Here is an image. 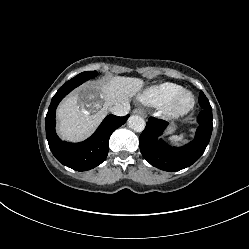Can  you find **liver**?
<instances>
[{
    "mask_svg": "<svg viewBox=\"0 0 249 249\" xmlns=\"http://www.w3.org/2000/svg\"><path fill=\"white\" fill-rule=\"evenodd\" d=\"M143 85V80L139 78L117 76L101 86H88L75 92L64 99L57 109L59 135L68 141L85 139L112 106L128 103ZM79 95L87 103L80 106Z\"/></svg>",
    "mask_w": 249,
    "mask_h": 249,
    "instance_id": "6515ba94",
    "label": "liver"
}]
</instances>
